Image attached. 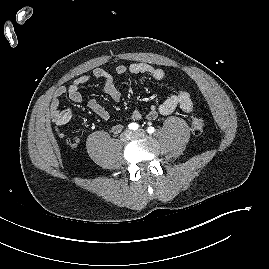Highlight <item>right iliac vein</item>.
<instances>
[{
  "label": "right iliac vein",
  "mask_w": 269,
  "mask_h": 269,
  "mask_svg": "<svg viewBox=\"0 0 269 269\" xmlns=\"http://www.w3.org/2000/svg\"><path fill=\"white\" fill-rule=\"evenodd\" d=\"M131 138H133V132H131V131H129V130L123 132V133L120 135V139H121L123 142L129 141Z\"/></svg>",
  "instance_id": "63e3f726"
}]
</instances>
